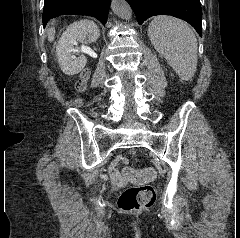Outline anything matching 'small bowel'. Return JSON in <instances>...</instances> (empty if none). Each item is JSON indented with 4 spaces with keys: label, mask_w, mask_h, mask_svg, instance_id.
<instances>
[{
    "label": "small bowel",
    "mask_w": 240,
    "mask_h": 238,
    "mask_svg": "<svg viewBox=\"0 0 240 238\" xmlns=\"http://www.w3.org/2000/svg\"><path fill=\"white\" fill-rule=\"evenodd\" d=\"M121 164H128V160L123 156H118L109 167L110 178L113 182H108V187H129V182H124L122 174L119 172Z\"/></svg>",
    "instance_id": "1"
}]
</instances>
